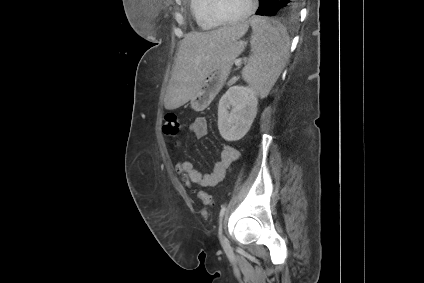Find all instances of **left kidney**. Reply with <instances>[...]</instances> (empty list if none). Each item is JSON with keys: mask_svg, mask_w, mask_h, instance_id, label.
Instances as JSON below:
<instances>
[{"mask_svg": "<svg viewBox=\"0 0 424 283\" xmlns=\"http://www.w3.org/2000/svg\"><path fill=\"white\" fill-rule=\"evenodd\" d=\"M257 105V92L252 87H231L218 105V129L222 138L226 141L243 138L256 117Z\"/></svg>", "mask_w": 424, "mask_h": 283, "instance_id": "1", "label": "left kidney"}]
</instances>
